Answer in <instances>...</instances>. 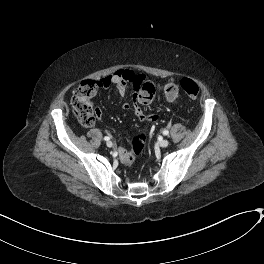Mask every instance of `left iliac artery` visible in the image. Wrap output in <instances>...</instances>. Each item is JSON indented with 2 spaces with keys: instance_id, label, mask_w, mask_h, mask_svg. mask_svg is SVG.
I'll return each mask as SVG.
<instances>
[{
  "instance_id": "44dca946",
  "label": "left iliac artery",
  "mask_w": 264,
  "mask_h": 264,
  "mask_svg": "<svg viewBox=\"0 0 264 264\" xmlns=\"http://www.w3.org/2000/svg\"><path fill=\"white\" fill-rule=\"evenodd\" d=\"M163 134H164V135H168V134H169V131H168V130H164V131H163Z\"/></svg>"
}]
</instances>
